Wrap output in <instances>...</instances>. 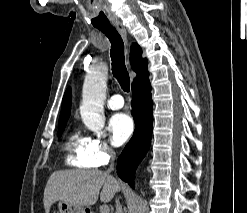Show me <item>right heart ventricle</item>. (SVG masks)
Wrapping results in <instances>:
<instances>
[{
  "mask_svg": "<svg viewBox=\"0 0 247 213\" xmlns=\"http://www.w3.org/2000/svg\"><path fill=\"white\" fill-rule=\"evenodd\" d=\"M88 138L81 136L77 131H73L65 142L66 161L68 164L80 167H93L87 158Z\"/></svg>",
  "mask_w": 247,
  "mask_h": 213,
  "instance_id": "1",
  "label": "right heart ventricle"
}]
</instances>
